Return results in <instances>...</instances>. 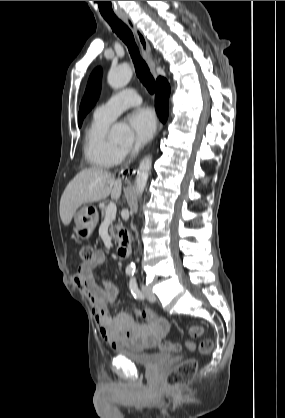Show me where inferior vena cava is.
Wrapping results in <instances>:
<instances>
[{"instance_id": "inferior-vena-cava-1", "label": "inferior vena cava", "mask_w": 285, "mask_h": 418, "mask_svg": "<svg viewBox=\"0 0 285 418\" xmlns=\"http://www.w3.org/2000/svg\"><path fill=\"white\" fill-rule=\"evenodd\" d=\"M136 150H133V154H135Z\"/></svg>"}]
</instances>
